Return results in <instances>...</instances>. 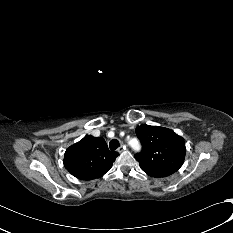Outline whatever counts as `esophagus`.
Instances as JSON below:
<instances>
[{
	"instance_id": "esophagus-1",
	"label": "esophagus",
	"mask_w": 233,
	"mask_h": 233,
	"mask_svg": "<svg viewBox=\"0 0 233 233\" xmlns=\"http://www.w3.org/2000/svg\"><path fill=\"white\" fill-rule=\"evenodd\" d=\"M124 150H126V146H120V147L117 149V151H118L119 153H122Z\"/></svg>"
}]
</instances>
